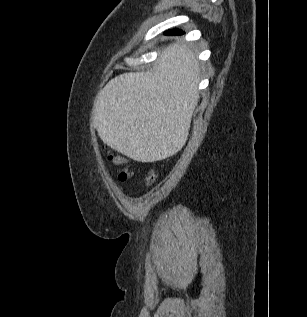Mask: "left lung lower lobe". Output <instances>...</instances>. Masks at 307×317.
Listing matches in <instances>:
<instances>
[{
    "label": "left lung lower lobe",
    "instance_id": "obj_1",
    "mask_svg": "<svg viewBox=\"0 0 307 317\" xmlns=\"http://www.w3.org/2000/svg\"><path fill=\"white\" fill-rule=\"evenodd\" d=\"M184 32L182 30L179 29H171V30H167L165 31V35L168 36H176V35H182Z\"/></svg>",
    "mask_w": 307,
    "mask_h": 317
}]
</instances>
